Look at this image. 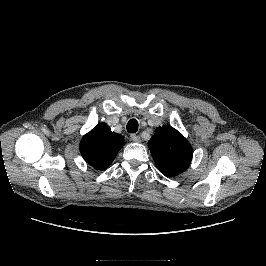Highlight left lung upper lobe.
<instances>
[{
	"mask_svg": "<svg viewBox=\"0 0 266 266\" xmlns=\"http://www.w3.org/2000/svg\"><path fill=\"white\" fill-rule=\"evenodd\" d=\"M148 146L157 168L168 177L183 173L192 160L190 143L171 126L157 128Z\"/></svg>",
	"mask_w": 266,
	"mask_h": 266,
	"instance_id": "1",
	"label": "left lung upper lobe"
}]
</instances>
